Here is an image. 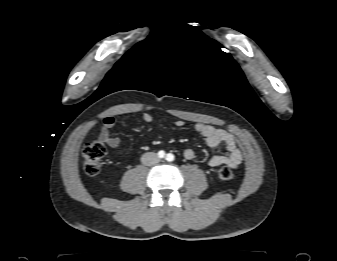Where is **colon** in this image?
<instances>
[{
    "instance_id": "colon-1",
    "label": "colon",
    "mask_w": 337,
    "mask_h": 261,
    "mask_svg": "<svg viewBox=\"0 0 337 261\" xmlns=\"http://www.w3.org/2000/svg\"><path fill=\"white\" fill-rule=\"evenodd\" d=\"M106 154V146L103 141L97 140L87 143L82 151L83 168L87 175L94 176L99 173L102 159ZM217 175L223 181H229L233 178V172L228 166H222L218 169Z\"/></svg>"
}]
</instances>
